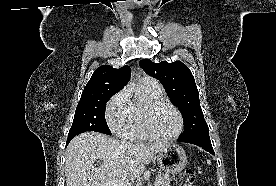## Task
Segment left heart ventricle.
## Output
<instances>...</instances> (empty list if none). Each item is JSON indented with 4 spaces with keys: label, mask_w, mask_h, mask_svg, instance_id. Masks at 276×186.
I'll use <instances>...</instances> for the list:
<instances>
[{
    "label": "left heart ventricle",
    "mask_w": 276,
    "mask_h": 186,
    "mask_svg": "<svg viewBox=\"0 0 276 186\" xmlns=\"http://www.w3.org/2000/svg\"><path fill=\"white\" fill-rule=\"evenodd\" d=\"M152 126L160 136H171L179 128V118L169 106H161L152 114Z\"/></svg>",
    "instance_id": "b2bd125f"
}]
</instances>
